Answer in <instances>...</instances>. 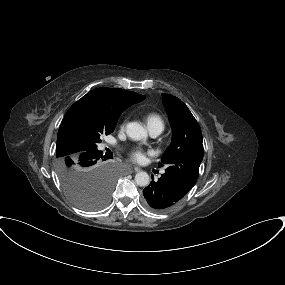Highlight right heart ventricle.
I'll return each instance as SVG.
<instances>
[{
  "label": "right heart ventricle",
  "instance_id": "obj_1",
  "mask_svg": "<svg viewBox=\"0 0 285 285\" xmlns=\"http://www.w3.org/2000/svg\"><path fill=\"white\" fill-rule=\"evenodd\" d=\"M146 121H147L149 129L157 128L163 131L165 127V122L163 118L159 114H156V113L148 114Z\"/></svg>",
  "mask_w": 285,
  "mask_h": 285
}]
</instances>
